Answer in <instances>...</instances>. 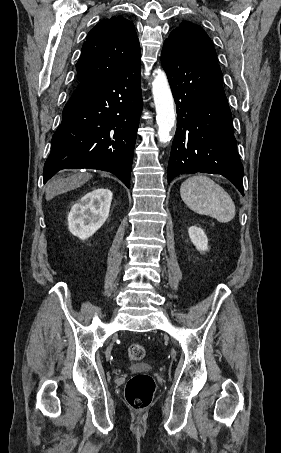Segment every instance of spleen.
Instances as JSON below:
<instances>
[{
    "label": "spleen",
    "mask_w": 281,
    "mask_h": 453,
    "mask_svg": "<svg viewBox=\"0 0 281 453\" xmlns=\"http://www.w3.org/2000/svg\"><path fill=\"white\" fill-rule=\"evenodd\" d=\"M180 194L183 202L199 214H209L219 222H229L235 216L236 208L231 196L209 176H190L182 182Z\"/></svg>",
    "instance_id": "spleen-1"
}]
</instances>
